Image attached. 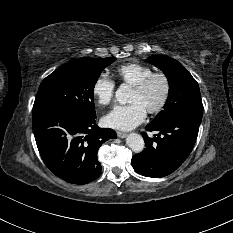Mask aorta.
<instances>
[{"label":"aorta","mask_w":233,"mask_h":233,"mask_svg":"<svg viewBox=\"0 0 233 233\" xmlns=\"http://www.w3.org/2000/svg\"><path fill=\"white\" fill-rule=\"evenodd\" d=\"M130 94L131 88L126 84H122L116 90L115 97L120 104H126L129 102ZM126 143L135 153H140L145 145L143 137L137 133H130L126 138Z\"/></svg>","instance_id":"aorta-1"}]
</instances>
